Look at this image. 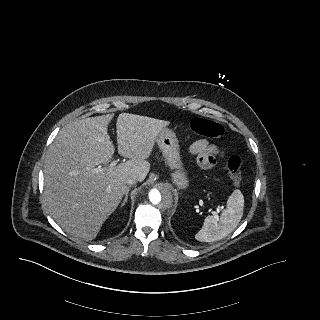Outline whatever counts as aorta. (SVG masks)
I'll use <instances>...</instances> for the list:
<instances>
[{
  "mask_svg": "<svg viewBox=\"0 0 320 320\" xmlns=\"http://www.w3.org/2000/svg\"><path fill=\"white\" fill-rule=\"evenodd\" d=\"M174 194L167 184L157 185L150 190L148 202L153 212L162 214L166 208L173 205Z\"/></svg>",
  "mask_w": 320,
  "mask_h": 320,
  "instance_id": "1",
  "label": "aorta"
}]
</instances>
